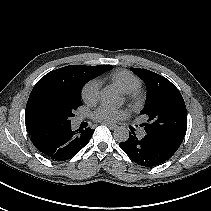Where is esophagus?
Wrapping results in <instances>:
<instances>
[{"label":"esophagus","mask_w":211,"mask_h":211,"mask_svg":"<svg viewBox=\"0 0 211 211\" xmlns=\"http://www.w3.org/2000/svg\"><path fill=\"white\" fill-rule=\"evenodd\" d=\"M102 124L108 126L112 130L117 128V125L116 124H113V123L104 122Z\"/></svg>","instance_id":"obj_1"}]
</instances>
